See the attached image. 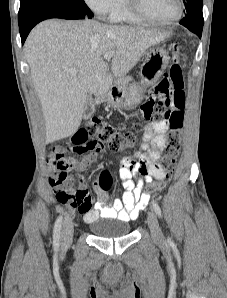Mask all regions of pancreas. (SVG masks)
<instances>
[{
    "instance_id": "pancreas-1",
    "label": "pancreas",
    "mask_w": 227,
    "mask_h": 298,
    "mask_svg": "<svg viewBox=\"0 0 227 298\" xmlns=\"http://www.w3.org/2000/svg\"><path fill=\"white\" fill-rule=\"evenodd\" d=\"M132 80L133 79L130 76H123L118 78L117 81H115V85L118 87L119 90L124 91L128 88Z\"/></svg>"
}]
</instances>
